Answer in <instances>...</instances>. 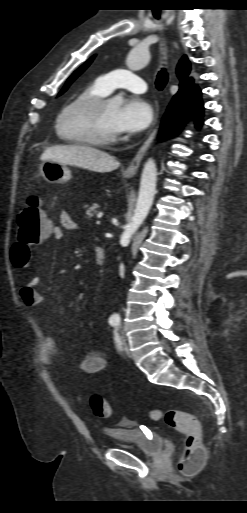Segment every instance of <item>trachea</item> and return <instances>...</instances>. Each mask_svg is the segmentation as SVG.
Returning <instances> with one entry per match:
<instances>
[{
  "mask_svg": "<svg viewBox=\"0 0 247 513\" xmlns=\"http://www.w3.org/2000/svg\"><path fill=\"white\" fill-rule=\"evenodd\" d=\"M167 81H168V74L165 69H162L161 71H159V73L157 75V79L155 82L156 88L158 90H162L166 86Z\"/></svg>",
  "mask_w": 247,
  "mask_h": 513,
  "instance_id": "trachea-1",
  "label": "trachea"
}]
</instances>
